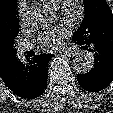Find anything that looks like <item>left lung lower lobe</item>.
I'll use <instances>...</instances> for the list:
<instances>
[{"instance_id": "obj_1", "label": "left lung lower lobe", "mask_w": 113, "mask_h": 113, "mask_svg": "<svg viewBox=\"0 0 113 113\" xmlns=\"http://www.w3.org/2000/svg\"><path fill=\"white\" fill-rule=\"evenodd\" d=\"M73 36V41L94 55V67L85 74H77L80 86L88 92H99L113 81V38H100L92 43Z\"/></svg>"}]
</instances>
